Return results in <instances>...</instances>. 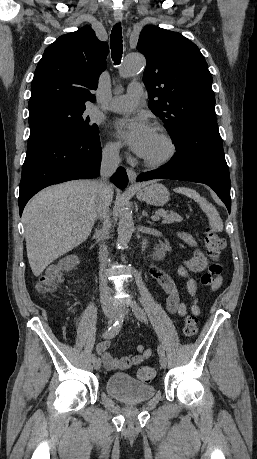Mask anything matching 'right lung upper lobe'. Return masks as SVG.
Listing matches in <instances>:
<instances>
[{
    "label": "right lung upper lobe",
    "instance_id": "1",
    "mask_svg": "<svg viewBox=\"0 0 257 459\" xmlns=\"http://www.w3.org/2000/svg\"><path fill=\"white\" fill-rule=\"evenodd\" d=\"M108 44L89 26L60 36L46 48L31 84L29 110L50 106L85 107L106 69Z\"/></svg>",
    "mask_w": 257,
    "mask_h": 459
}]
</instances>
